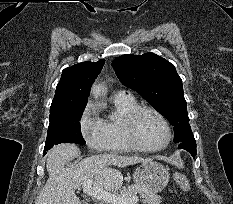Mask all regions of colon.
Here are the masks:
<instances>
[{"label":"colon","mask_w":233,"mask_h":204,"mask_svg":"<svg viewBox=\"0 0 233 204\" xmlns=\"http://www.w3.org/2000/svg\"><path fill=\"white\" fill-rule=\"evenodd\" d=\"M173 177H174V180L177 182V184L181 187L183 191H189L190 184H189L187 177L184 174L180 172H175Z\"/></svg>","instance_id":"5ec220e1"}]
</instances>
